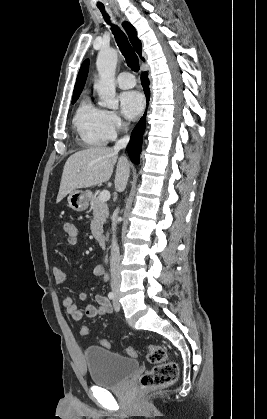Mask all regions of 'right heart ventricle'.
<instances>
[{"label": "right heart ventricle", "instance_id": "obj_1", "mask_svg": "<svg viewBox=\"0 0 267 419\" xmlns=\"http://www.w3.org/2000/svg\"><path fill=\"white\" fill-rule=\"evenodd\" d=\"M74 128L81 141L91 147L103 146L109 138L104 129V110L84 96L74 113Z\"/></svg>", "mask_w": 267, "mask_h": 419}]
</instances>
